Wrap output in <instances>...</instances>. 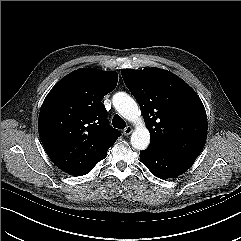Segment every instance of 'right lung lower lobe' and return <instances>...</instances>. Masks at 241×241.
<instances>
[{"instance_id":"98d812e1","label":"right lung lower lobe","mask_w":241,"mask_h":241,"mask_svg":"<svg viewBox=\"0 0 241 241\" xmlns=\"http://www.w3.org/2000/svg\"><path fill=\"white\" fill-rule=\"evenodd\" d=\"M106 157V156H105ZM105 157L101 158L100 160L104 159ZM98 160L97 162H94L92 163L91 165L85 167V168H82V169H79L77 171H75L74 173H72L71 175H75V176H82V175H85L87 173H89L91 171V169L94 168V166L100 161Z\"/></svg>"}]
</instances>
